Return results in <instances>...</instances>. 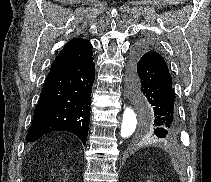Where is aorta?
Listing matches in <instances>:
<instances>
[{
  "label": "aorta",
  "mask_w": 211,
  "mask_h": 182,
  "mask_svg": "<svg viewBox=\"0 0 211 182\" xmlns=\"http://www.w3.org/2000/svg\"><path fill=\"white\" fill-rule=\"evenodd\" d=\"M137 114L131 107H126L123 113V120L121 125L120 136L127 138L131 136L137 127Z\"/></svg>",
  "instance_id": "1"
}]
</instances>
